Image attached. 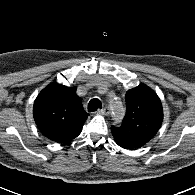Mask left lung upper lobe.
Listing matches in <instances>:
<instances>
[{
	"label": "left lung upper lobe",
	"mask_w": 195,
	"mask_h": 195,
	"mask_svg": "<svg viewBox=\"0 0 195 195\" xmlns=\"http://www.w3.org/2000/svg\"><path fill=\"white\" fill-rule=\"evenodd\" d=\"M126 115L121 126L112 132L130 148L140 147L154 137L162 123V107L158 97L147 87L139 85L125 96Z\"/></svg>",
	"instance_id": "1"
}]
</instances>
